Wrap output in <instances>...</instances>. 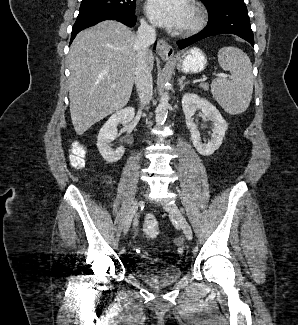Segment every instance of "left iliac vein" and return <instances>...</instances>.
<instances>
[{
  "label": "left iliac vein",
  "instance_id": "1",
  "mask_svg": "<svg viewBox=\"0 0 298 325\" xmlns=\"http://www.w3.org/2000/svg\"><path fill=\"white\" fill-rule=\"evenodd\" d=\"M164 208L171 216H173L178 221L185 237L187 238V240L191 241L193 237L192 229L185 217L181 214L177 205L175 203H165Z\"/></svg>",
  "mask_w": 298,
  "mask_h": 325
}]
</instances>
